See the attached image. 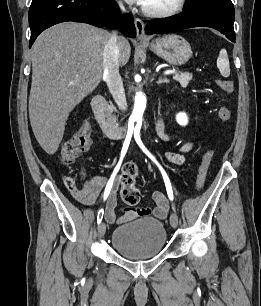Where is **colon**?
<instances>
[{
    "instance_id": "colon-1",
    "label": "colon",
    "mask_w": 261,
    "mask_h": 306,
    "mask_svg": "<svg viewBox=\"0 0 261 306\" xmlns=\"http://www.w3.org/2000/svg\"><path fill=\"white\" fill-rule=\"evenodd\" d=\"M217 84L220 89L230 94L234 89V84L231 80L219 79ZM231 117L230 110L226 107H221L218 110V118L222 121H228ZM91 144V129L89 125L83 124L77 130V132L68 139L62 146V161L66 165L73 164L84 152H86ZM215 154V150H210L206 153L199 168L196 187L199 189L202 187L208 168ZM138 176V167L133 162L126 163L121 175L119 176V182L121 184V198L122 200L133 206L139 202L140 193L136 187V179ZM66 184L72 188L74 186V180L72 178L66 179Z\"/></svg>"
}]
</instances>
